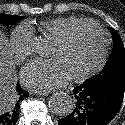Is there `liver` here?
I'll return each instance as SVG.
<instances>
[{"label":"liver","mask_w":125,"mask_h":125,"mask_svg":"<svg viewBox=\"0 0 125 125\" xmlns=\"http://www.w3.org/2000/svg\"><path fill=\"white\" fill-rule=\"evenodd\" d=\"M16 74L8 41L0 31V113L15 95Z\"/></svg>","instance_id":"1"}]
</instances>
